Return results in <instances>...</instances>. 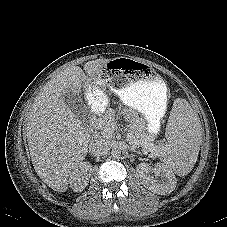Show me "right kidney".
Returning a JSON list of instances; mask_svg holds the SVG:
<instances>
[{
  "instance_id": "obj_1",
  "label": "right kidney",
  "mask_w": 227,
  "mask_h": 227,
  "mask_svg": "<svg viewBox=\"0 0 227 227\" xmlns=\"http://www.w3.org/2000/svg\"><path fill=\"white\" fill-rule=\"evenodd\" d=\"M92 166L89 162H81L69 178L70 187L74 192L83 191L89 183Z\"/></svg>"
}]
</instances>
